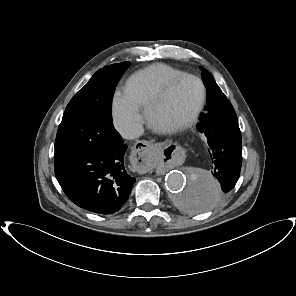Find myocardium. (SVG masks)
<instances>
[{
  "mask_svg": "<svg viewBox=\"0 0 296 296\" xmlns=\"http://www.w3.org/2000/svg\"><path fill=\"white\" fill-rule=\"evenodd\" d=\"M184 79H192L198 83L200 94L197 103L195 104L194 108L190 111V113L187 114L184 118L171 123L161 122L157 118L158 110L165 103L174 87ZM205 100L206 87L204 85V82L196 75L188 73L181 74L169 81L166 84V86L161 90V92L156 96V98L149 104V106L147 107L148 120L154 129L163 133H174L183 130L192 125L198 118L205 103Z\"/></svg>",
  "mask_w": 296,
  "mask_h": 296,
  "instance_id": "myocardium-1",
  "label": "myocardium"
}]
</instances>
